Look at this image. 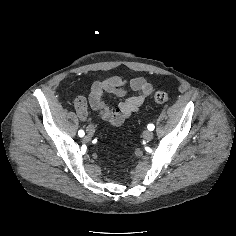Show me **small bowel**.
I'll return each mask as SVG.
<instances>
[{"mask_svg":"<svg viewBox=\"0 0 236 236\" xmlns=\"http://www.w3.org/2000/svg\"><path fill=\"white\" fill-rule=\"evenodd\" d=\"M154 90V86L144 77H132L127 80L115 75L94 82L88 99L78 96L74 101V106L82 121H91L88 112L89 105L97 118L112 126H120L139 110ZM129 91L133 94L127 96ZM106 93L123 98V100L113 107L103 99Z\"/></svg>","mask_w":236,"mask_h":236,"instance_id":"1","label":"small bowel"}]
</instances>
